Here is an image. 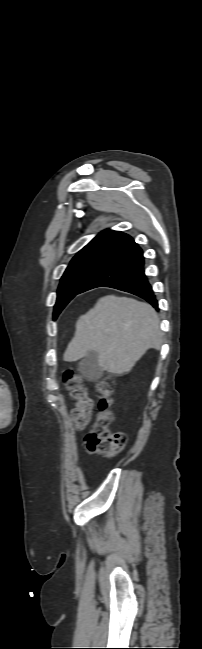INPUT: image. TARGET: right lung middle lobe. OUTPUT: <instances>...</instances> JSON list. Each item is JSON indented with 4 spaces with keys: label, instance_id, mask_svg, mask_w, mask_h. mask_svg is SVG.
<instances>
[{
    "label": "right lung middle lobe",
    "instance_id": "dd1d6c3e",
    "mask_svg": "<svg viewBox=\"0 0 202 649\" xmlns=\"http://www.w3.org/2000/svg\"><path fill=\"white\" fill-rule=\"evenodd\" d=\"M115 255L108 253H88L75 256L64 272L58 288L54 307V320L62 309L86 284V282Z\"/></svg>",
    "mask_w": 202,
    "mask_h": 649
}]
</instances>
